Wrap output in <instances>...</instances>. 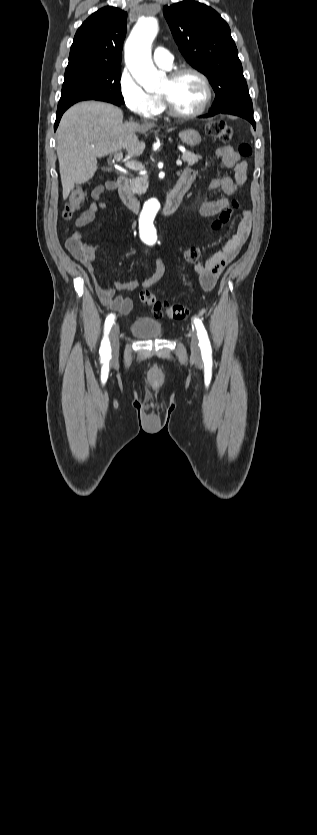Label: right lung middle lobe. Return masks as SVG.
Instances as JSON below:
<instances>
[{"mask_svg": "<svg viewBox=\"0 0 317 835\" xmlns=\"http://www.w3.org/2000/svg\"><path fill=\"white\" fill-rule=\"evenodd\" d=\"M120 77L121 66L94 64L67 66L58 108L101 97H110L124 103Z\"/></svg>", "mask_w": 317, "mask_h": 835, "instance_id": "1", "label": "right lung middle lobe"}]
</instances>
